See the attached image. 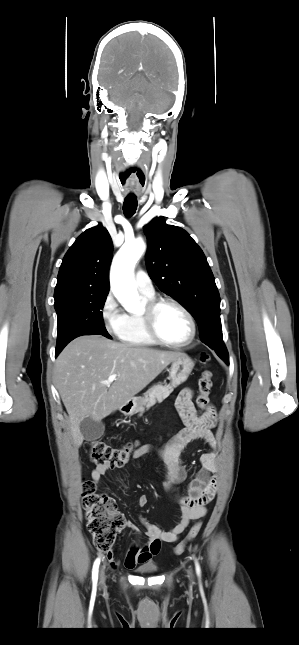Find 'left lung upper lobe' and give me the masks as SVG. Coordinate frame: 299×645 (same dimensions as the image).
I'll return each instance as SVG.
<instances>
[{"label":"left lung upper lobe","instance_id":"left-lung-upper-lobe-1","mask_svg":"<svg viewBox=\"0 0 299 645\" xmlns=\"http://www.w3.org/2000/svg\"><path fill=\"white\" fill-rule=\"evenodd\" d=\"M144 233L149 276L164 293L187 308L198 323L203 343L227 360L220 295L204 253L185 230L167 225L163 217L144 226Z\"/></svg>","mask_w":299,"mask_h":645}]
</instances>
